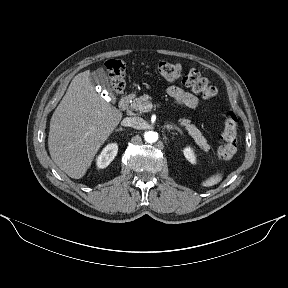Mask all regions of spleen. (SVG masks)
<instances>
[{
	"mask_svg": "<svg viewBox=\"0 0 288 288\" xmlns=\"http://www.w3.org/2000/svg\"><path fill=\"white\" fill-rule=\"evenodd\" d=\"M221 180H222V175L216 174V175L210 177L209 179H207L205 182H203L202 185L205 187H210V186L217 184Z\"/></svg>",
	"mask_w": 288,
	"mask_h": 288,
	"instance_id": "spleen-1",
	"label": "spleen"
}]
</instances>
